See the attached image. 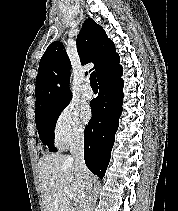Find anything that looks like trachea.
<instances>
[{
  "label": "trachea",
  "instance_id": "1",
  "mask_svg": "<svg viewBox=\"0 0 178 211\" xmlns=\"http://www.w3.org/2000/svg\"><path fill=\"white\" fill-rule=\"evenodd\" d=\"M90 84H91V87L93 89H97L98 88V83H97V79H96V74L95 72H92L90 74Z\"/></svg>",
  "mask_w": 178,
  "mask_h": 211
}]
</instances>
